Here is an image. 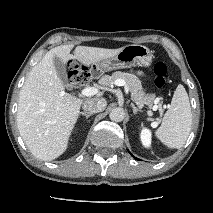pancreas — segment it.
<instances>
[{
    "mask_svg": "<svg viewBox=\"0 0 213 213\" xmlns=\"http://www.w3.org/2000/svg\"><path fill=\"white\" fill-rule=\"evenodd\" d=\"M117 79H123L126 81L131 92L132 100L137 105L141 107L147 105L150 108L153 106V103L155 102V95L146 94L141 85V80L135 74L117 71L111 76L103 75L100 78L99 83L104 87H111Z\"/></svg>",
    "mask_w": 213,
    "mask_h": 213,
    "instance_id": "pancreas-1",
    "label": "pancreas"
}]
</instances>
